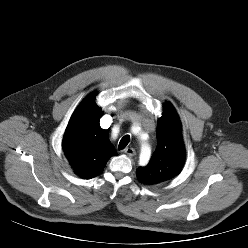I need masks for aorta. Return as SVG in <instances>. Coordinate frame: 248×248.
<instances>
[{"label": "aorta", "mask_w": 248, "mask_h": 248, "mask_svg": "<svg viewBox=\"0 0 248 248\" xmlns=\"http://www.w3.org/2000/svg\"><path fill=\"white\" fill-rule=\"evenodd\" d=\"M143 149L145 150V149H147L146 147H143Z\"/></svg>", "instance_id": "762f6f07"}]
</instances>
